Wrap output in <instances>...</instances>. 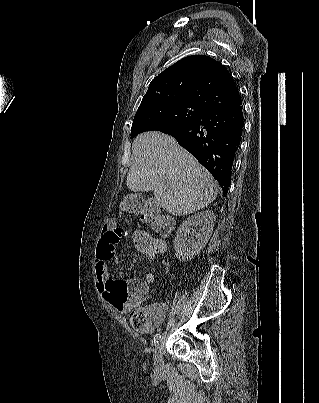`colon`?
Here are the masks:
<instances>
[{
	"mask_svg": "<svg viewBox=\"0 0 319 403\" xmlns=\"http://www.w3.org/2000/svg\"><path fill=\"white\" fill-rule=\"evenodd\" d=\"M123 202L127 215L142 217L162 236H166L170 232L171 222L160 215L158 201L147 202L141 192H128ZM133 232L134 234H130L128 242L138 258H163L167 246L166 239H159L158 234H153L151 229H143L142 226H135Z\"/></svg>",
	"mask_w": 319,
	"mask_h": 403,
	"instance_id": "5ec220e1",
	"label": "colon"
}]
</instances>
